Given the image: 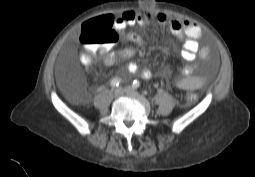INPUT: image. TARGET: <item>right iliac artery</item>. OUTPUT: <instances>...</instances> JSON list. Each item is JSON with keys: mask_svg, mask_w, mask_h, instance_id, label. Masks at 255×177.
<instances>
[{"mask_svg": "<svg viewBox=\"0 0 255 177\" xmlns=\"http://www.w3.org/2000/svg\"><path fill=\"white\" fill-rule=\"evenodd\" d=\"M121 83V79H119V78H114V79H112V81H111V87H117V86H119V84Z\"/></svg>", "mask_w": 255, "mask_h": 177, "instance_id": "obj_1", "label": "right iliac artery"}]
</instances>
